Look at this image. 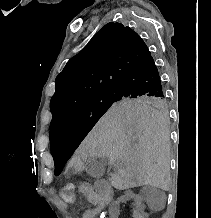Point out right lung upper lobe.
Masks as SVG:
<instances>
[{
    "label": "right lung upper lobe",
    "instance_id": "right-lung-upper-lobe-1",
    "mask_svg": "<svg viewBox=\"0 0 211 218\" xmlns=\"http://www.w3.org/2000/svg\"><path fill=\"white\" fill-rule=\"evenodd\" d=\"M150 51L141 37L120 23L102 27L56 78L50 102L52 122L77 105L116 91Z\"/></svg>",
    "mask_w": 211,
    "mask_h": 218
}]
</instances>
